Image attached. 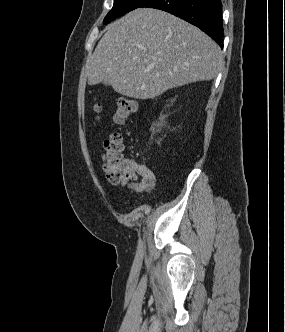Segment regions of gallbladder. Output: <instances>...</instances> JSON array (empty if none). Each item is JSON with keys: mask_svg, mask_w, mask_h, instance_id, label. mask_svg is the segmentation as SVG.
<instances>
[{"mask_svg": "<svg viewBox=\"0 0 285 332\" xmlns=\"http://www.w3.org/2000/svg\"><path fill=\"white\" fill-rule=\"evenodd\" d=\"M103 84L106 85V86L109 85L106 81H104Z\"/></svg>", "mask_w": 285, "mask_h": 332, "instance_id": "obj_1", "label": "gallbladder"}]
</instances>
